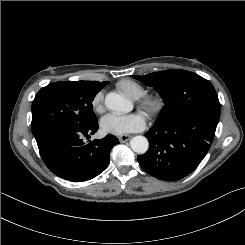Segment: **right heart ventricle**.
Segmentation results:
<instances>
[{"mask_svg": "<svg viewBox=\"0 0 245 245\" xmlns=\"http://www.w3.org/2000/svg\"><path fill=\"white\" fill-rule=\"evenodd\" d=\"M117 88L131 99H138L144 95V88L137 82L130 79H123L117 82Z\"/></svg>", "mask_w": 245, "mask_h": 245, "instance_id": "right-heart-ventricle-1", "label": "right heart ventricle"}]
</instances>
